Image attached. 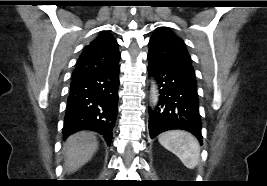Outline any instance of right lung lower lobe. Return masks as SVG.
Returning a JSON list of instances; mask_svg holds the SVG:
<instances>
[{"mask_svg":"<svg viewBox=\"0 0 267 186\" xmlns=\"http://www.w3.org/2000/svg\"><path fill=\"white\" fill-rule=\"evenodd\" d=\"M118 63L72 76L64 119L63 135L80 130L102 134L109 145L118 105Z\"/></svg>","mask_w":267,"mask_h":186,"instance_id":"1","label":"right lung lower lobe"}]
</instances>
